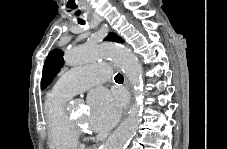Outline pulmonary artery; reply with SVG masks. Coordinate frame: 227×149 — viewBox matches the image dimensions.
<instances>
[{
	"mask_svg": "<svg viewBox=\"0 0 227 149\" xmlns=\"http://www.w3.org/2000/svg\"><path fill=\"white\" fill-rule=\"evenodd\" d=\"M109 73L110 66L108 64L78 66L63 74L56 81L53 89L72 97L87 90L94 84L107 81Z\"/></svg>",
	"mask_w": 227,
	"mask_h": 149,
	"instance_id": "1",
	"label": "pulmonary artery"
}]
</instances>
